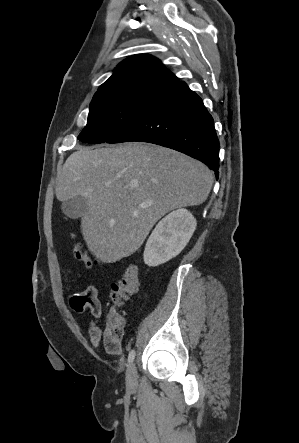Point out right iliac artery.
Instances as JSON below:
<instances>
[{
    "instance_id": "right-iliac-artery-1",
    "label": "right iliac artery",
    "mask_w": 299,
    "mask_h": 443,
    "mask_svg": "<svg viewBox=\"0 0 299 443\" xmlns=\"http://www.w3.org/2000/svg\"><path fill=\"white\" fill-rule=\"evenodd\" d=\"M134 358H135V351L131 350L128 355V362L129 363L133 362Z\"/></svg>"
}]
</instances>
